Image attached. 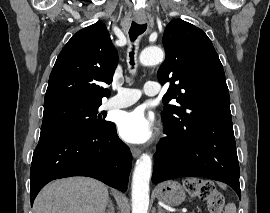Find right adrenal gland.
Segmentation results:
<instances>
[{
	"label": "right adrenal gland",
	"instance_id": "obj_1",
	"mask_svg": "<svg viewBox=\"0 0 270 213\" xmlns=\"http://www.w3.org/2000/svg\"><path fill=\"white\" fill-rule=\"evenodd\" d=\"M105 213H115V208L111 200L108 201V209Z\"/></svg>",
	"mask_w": 270,
	"mask_h": 213
}]
</instances>
